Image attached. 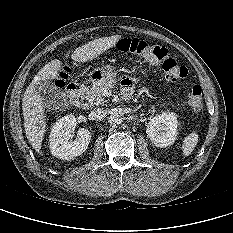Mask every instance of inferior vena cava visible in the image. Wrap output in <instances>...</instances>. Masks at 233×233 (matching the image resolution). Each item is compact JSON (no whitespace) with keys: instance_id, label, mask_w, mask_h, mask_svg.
<instances>
[{"instance_id":"inferior-vena-cava-1","label":"inferior vena cava","mask_w":233,"mask_h":233,"mask_svg":"<svg viewBox=\"0 0 233 233\" xmlns=\"http://www.w3.org/2000/svg\"><path fill=\"white\" fill-rule=\"evenodd\" d=\"M106 117V111L103 108H97L91 111V118L96 121H102Z\"/></svg>"}]
</instances>
